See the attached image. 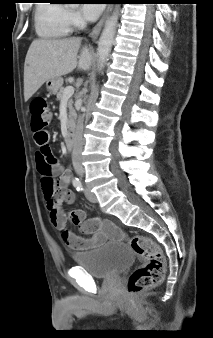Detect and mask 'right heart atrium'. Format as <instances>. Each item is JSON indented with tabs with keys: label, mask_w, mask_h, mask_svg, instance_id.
<instances>
[{
	"label": "right heart atrium",
	"mask_w": 213,
	"mask_h": 338,
	"mask_svg": "<svg viewBox=\"0 0 213 338\" xmlns=\"http://www.w3.org/2000/svg\"><path fill=\"white\" fill-rule=\"evenodd\" d=\"M64 21L70 28H78L84 25V19L80 13L71 9L64 11Z\"/></svg>",
	"instance_id": "1"
}]
</instances>
